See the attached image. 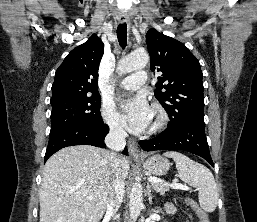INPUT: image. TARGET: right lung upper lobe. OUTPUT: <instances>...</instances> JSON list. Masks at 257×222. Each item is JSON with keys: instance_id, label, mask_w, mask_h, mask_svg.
I'll return each instance as SVG.
<instances>
[{"instance_id": "right-lung-upper-lobe-1", "label": "right lung upper lobe", "mask_w": 257, "mask_h": 222, "mask_svg": "<svg viewBox=\"0 0 257 222\" xmlns=\"http://www.w3.org/2000/svg\"><path fill=\"white\" fill-rule=\"evenodd\" d=\"M103 53L104 44L96 34L74 48L56 70L51 100L99 95L98 68Z\"/></svg>"}]
</instances>
